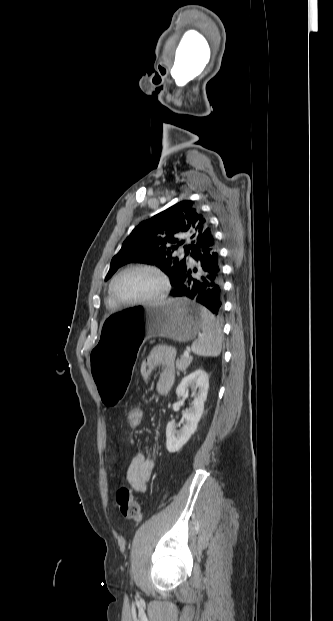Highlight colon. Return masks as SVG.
<instances>
[{
    "label": "colon",
    "mask_w": 333,
    "mask_h": 621,
    "mask_svg": "<svg viewBox=\"0 0 333 621\" xmlns=\"http://www.w3.org/2000/svg\"><path fill=\"white\" fill-rule=\"evenodd\" d=\"M125 418L129 427L136 428L142 421L143 412L140 408H131L126 412ZM116 505L124 518L136 522L140 521V506L134 499L132 492L128 487L121 486L117 490Z\"/></svg>",
    "instance_id": "colon-1"
}]
</instances>
